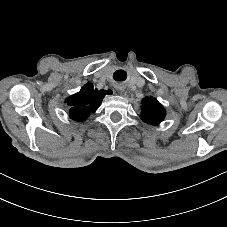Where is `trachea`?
I'll use <instances>...</instances> for the list:
<instances>
[{
	"instance_id": "1",
	"label": "trachea",
	"mask_w": 227,
	"mask_h": 227,
	"mask_svg": "<svg viewBox=\"0 0 227 227\" xmlns=\"http://www.w3.org/2000/svg\"><path fill=\"white\" fill-rule=\"evenodd\" d=\"M127 78V73L124 70H117L113 74V79L115 81H124Z\"/></svg>"
}]
</instances>
